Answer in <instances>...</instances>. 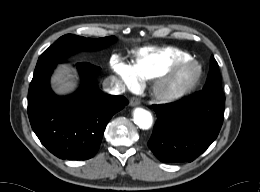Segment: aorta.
Instances as JSON below:
<instances>
[{"label":"aorta","mask_w":260,"mask_h":192,"mask_svg":"<svg viewBox=\"0 0 260 192\" xmlns=\"http://www.w3.org/2000/svg\"><path fill=\"white\" fill-rule=\"evenodd\" d=\"M134 123L141 129L147 130L151 128L153 123L152 115L146 109L137 107L133 111Z\"/></svg>","instance_id":"1"}]
</instances>
